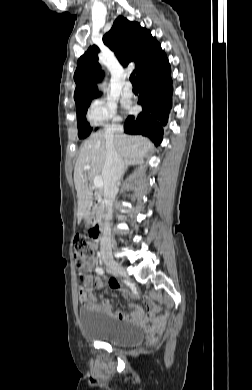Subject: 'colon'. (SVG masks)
<instances>
[{
  "label": "colon",
  "instance_id": "obj_1",
  "mask_svg": "<svg viewBox=\"0 0 252 390\" xmlns=\"http://www.w3.org/2000/svg\"><path fill=\"white\" fill-rule=\"evenodd\" d=\"M96 231L91 228L85 235L76 236L74 239V260L76 266L81 270L94 256L97 250ZM84 274L80 273V277Z\"/></svg>",
  "mask_w": 252,
  "mask_h": 390
}]
</instances>
